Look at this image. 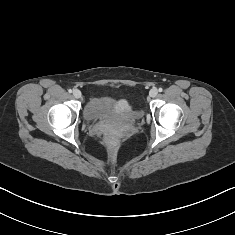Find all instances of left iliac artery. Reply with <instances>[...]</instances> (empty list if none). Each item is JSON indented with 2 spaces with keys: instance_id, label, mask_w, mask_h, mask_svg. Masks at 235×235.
<instances>
[{
  "instance_id": "obj_1",
  "label": "left iliac artery",
  "mask_w": 235,
  "mask_h": 235,
  "mask_svg": "<svg viewBox=\"0 0 235 235\" xmlns=\"http://www.w3.org/2000/svg\"><path fill=\"white\" fill-rule=\"evenodd\" d=\"M158 91H159V92H162V91H163V89H162V88H159V89H158Z\"/></svg>"
}]
</instances>
